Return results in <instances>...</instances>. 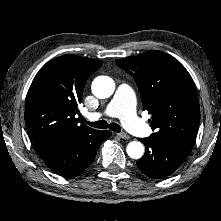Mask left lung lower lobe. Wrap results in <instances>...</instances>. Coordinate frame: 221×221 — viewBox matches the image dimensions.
Segmentation results:
<instances>
[{
    "label": "left lung lower lobe",
    "instance_id": "1",
    "mask_svg": "<svg viewBox=\"0 0 221 221\" xmlns=\"http://www.w3.org/2000/svg\"><path fill=\"white\" fill-rule=\"evenodd\" d=\"M146 152L137 162L141 172L151 178H164L175 172L186 160L192 147L178 141L161 138H140Z\"/></svg>",
    "mask_w": 221,
    "mask_h": 221
}]
</instances>
